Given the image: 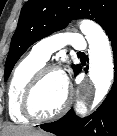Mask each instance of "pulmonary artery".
Listing matches in <instances>:
<instances>
[{
    "instance_id": "pulmonary-artery-1",
    "label": "pulmonary artery",
    "mask_w": 117,
    "mask_h": 136,
    "mask_svg": "<svg viewBox=\"0 0 117 136\" xmlns=\"http://www.w3.org/2000/svg\"><path fill=\"white\" fill-rule=\"evenodd\" d=\"M83 51L86 49L85 39L75 32L56 33L38 41L31 49V53L43 62H47L51 55L64 46Z\"/></svg>"
}]
</instances>
